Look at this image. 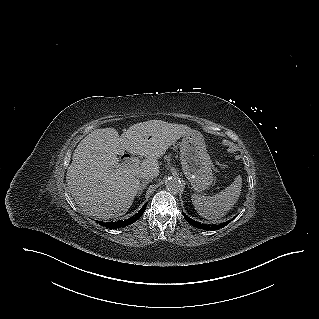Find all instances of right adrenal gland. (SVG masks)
<instances>
[{
  "mask_svg": "<svg viewBox=\"0 0 319 319\" xmlns=\"http://www.w3.org/2000/svg\"><path fill=\"white\" fill-rule=\"evenodd\" d=\"M150 180H144L141 184H140V187H139V190H138V196H141V194L143 193V190L145 189V187L149 184Z\"/></svg>",
  "mask_w": 319,
  "mask_h": 319,
  "instance_id": "right-adrenal-gland-1",
  "label": "right adrenal gland"
}]
</instances>
